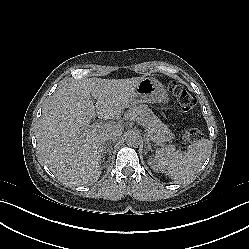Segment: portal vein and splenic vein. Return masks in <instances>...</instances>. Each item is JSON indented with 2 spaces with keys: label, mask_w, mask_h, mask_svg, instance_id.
Returning <instances> with one entry per match:
<instances>
[{
  "label": "portal vein and splenic vein",
  "mask_w": 249,
  "mask_h": 249,
  "mask_svg": "<svg viewBox=\"0 0 249 249\" xmlns=\"http://www.w3.org/2000/svg\"><path fill=\"white\" fill-rule=\"evenodd\" d=\"M95 127L100 128V127H101V125H100V124H97V125H95Z\"/></svg>",
  "instance_id": "1"
}]
</instances>
